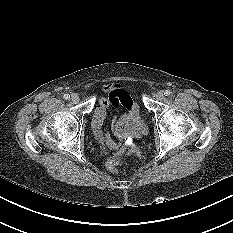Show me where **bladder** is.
Here are the masks:
<instances>
[{"label":"bladder","instance_id":"bladder-1","mask_svg":"<svg viewBox=\"0 0 233 233\" xmlns=\"http://www.w3.org/2000/svg\"><path fill=\"white\" fill-rule=\"evenodd\" d=\"M114 131L124 137H135L147 133V125L139 114L126 113L114 123Z\"/></svg>","mask_w":233,"mask_h":233}]
</instances>
